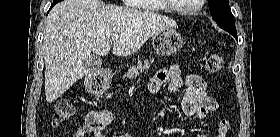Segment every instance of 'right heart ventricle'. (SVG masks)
<instances>
[{"label": "right heart ventricle", "mask_w": 280, "mask_h": 137, "mask_svg": "<svg viewBox=\"0 0 280 137\" xmlns=\"http://www.w3.org/2000/svg\"><path fill=\"white\" fill-rule=\"evenodd\" d=\"M145 1H149V2H157V0H145ZM146 10H149V11H164L163 7L162 6H154V7H150V8H145Z\"/></svg>", "instance_id": "obj_1"}]
</instances>
